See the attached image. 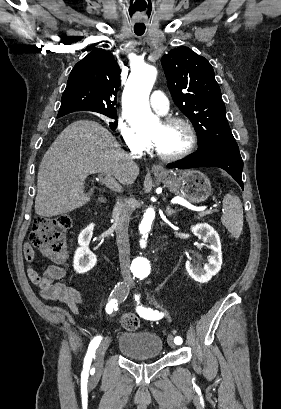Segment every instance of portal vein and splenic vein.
<instances>
[{"label": "portal vein and splenic vein", "mask_w": 281, "mask_h": 409, "mask_svg": "<svg viewBox=\"0 0 281 409\" xmlns=\"http://www.w3.org/2000/svg\"><path fill=\"white\" fill-rule=\"evenodd\" d=\"M99 183L104 184L105 188L110 192L113 191V190H116V189H120L121 186H122L121 181L120 180H115V178H113L112 174H105L104 177H100L99 178ZM115 194L119 195L120 191L116 190ZM218 213H222V210L206 209V208L203 207L201 212L197 213L196 219H202V217H207L208 214H218Z\"/></svg>", "instance_id": "obj_1"}]
</instances>
